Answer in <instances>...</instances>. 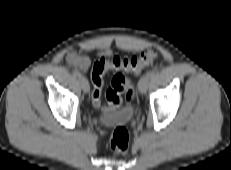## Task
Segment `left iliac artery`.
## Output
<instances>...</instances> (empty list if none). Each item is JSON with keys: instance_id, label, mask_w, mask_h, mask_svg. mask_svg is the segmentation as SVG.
<instances>
[{"instance_id": "obj_1", "label": "left iliac artery", "mask_w": 231, "mask_h": 170, "mask_svg": "<svg viewBox=\"0 0 231 170\" xmlns=\"http://www.w3.org/2000/svg\"><path fill=\"white\" fill-rule=\"evenodd\" d=\"M146 76H148L149 78H153L155 76V72L149 71Z\"/></svg>"}]
</instances>
